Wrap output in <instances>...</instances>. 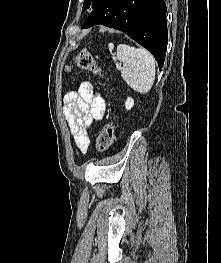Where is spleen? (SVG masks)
Masks as SVG:
<instances>
[{
  "label": "spleen",
  "instance_id": "spleen-1",
  "mask_svg": "<svg viewBox=\"0 0 221 263\" xmlns=\"http://www.w3.org/2000/svg\"><path fill=\"white\" fill-rule=\"evenodd\" d=\"M108 47L112 52L113 43H109ZM112 58L122 78L133 90L140 93L151 90L156 74L155 59L151 53L143 48L120 44L117 46L116 56Z\"/></svg>",
  "mask_w": 221,
  "mask_h": 263
}]
</instances>
